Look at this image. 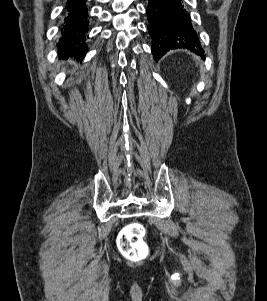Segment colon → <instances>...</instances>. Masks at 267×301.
<instances>
[{
	"instance_id": "colon-1",
	"label": "colon",
	"mask_w": 267,
	"mask_h": 301,
	"mask_svg": "<svg viewBox=\"0 0 267 301\" xmlns=\"http://www.w3.org/2000/svg\"><path fill=\"white\" fill-rule=\"evenodd\" d=\"M145 229L138 222L127 225L120 232L118 247L121 253L132 261H140L148 255V246L144 241Z\"/></svg>"
}]
</instances>
